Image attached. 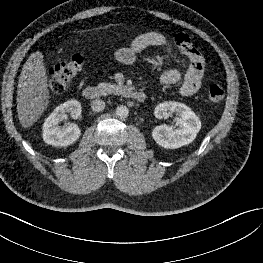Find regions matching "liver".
<instances>
[{
  "mask_svg": "<svg viewBox=\"0 0 263 263\" xmlns=\"http://www.w3.org/2000/svg\"><path fill=\"white\" fill-rule=\"evenodd\" d=\"M48 76L43 54H31L23 65L17 89V113L24 128L31 127L49 103Z\"/></svg>",
  "mask_w": 263,
  "mask_h": 263,
  "instance_id": "6515ba94",
  "label": "liver"
}]
</instances>
